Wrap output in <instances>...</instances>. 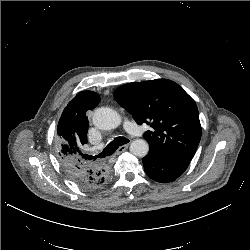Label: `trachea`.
<instances>
[{"label":"trachea","instance_id":"trachea-1","mask_svg":"<svg viewBox=\"0 0 250 250\" xmlns=\"http://www.w3.org/2000/svg\"><path fill=\"white\" fill-rule=\"evenodd\" d=\"M128 142H129V140L125 137H122V136L116 137L96 157L105 158L107 156H110L119 148V146H122ZM90 158H92V157H90Z\"/></svg>","mask_w":250,"mask_h":250}]
</instances>
